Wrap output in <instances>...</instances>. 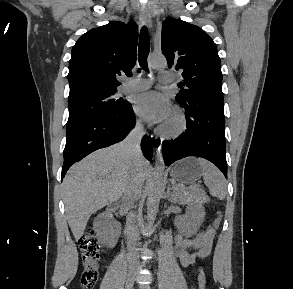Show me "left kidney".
I'll return each instance as SVG.
<instances>
[{
  "label": "left kidney",
  "mask_w": 293,
  "mask_h": 289,
  "mask_svg": "<svg viewBox=\"0 0 293 289\" xmlns=\"http://www.w3.org/2000/svg\"><path fill=\"white\" fill-rule=\"evenodd\" d=\"M204 210L198 208L196 210H190L187 214L180 216L178 227L181 233L187 237L195 235L203 222Z\"/></svg>",
  "instance_id": "obj_1"
}]
</instances>
